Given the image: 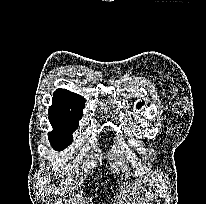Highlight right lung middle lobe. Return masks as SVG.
<instances>
[{
    "instance_id": "right-lung-middle-lobe-1",
    "label": "right lung middle lobe",
    "mask_w": 206,
    "mask_h": 204,
    "mask_svg": "<svg viewBox=\"0 0 206 204\" xmlns=\"http://www.w3.org/2000/svg\"><path fill=\"white\" fill-rule=\"evenodd\" d=\"M81 118L72 114L49 112L53 131L49 132L48 137L54 150L62 151L72 143V133L78 128Z\"/></svg>"
}]
</instances>
